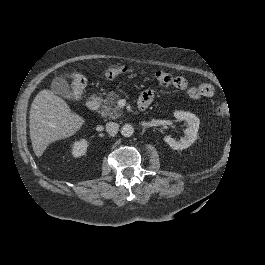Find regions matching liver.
I'll list each match as a JSON object with an SVG mask.
<instances>
[{
    "mask_svg": "<svg viewBox=\"0 0 265 265\" xmlns=\"http://www.w3.org/2000/svg\"><path fill=\"white\" fill-rule=\"evenodd\" d=\"M85 120L71 112L63 99L51 90L40 91L33 100L29 115L30 139L37 157L57 140L74 135Z\"/></svg>",
    "mask_w": 265,
    "mask_h": 265,
    "instance_id": "liver-1",
    "label": "liver"
}]
</instances>
